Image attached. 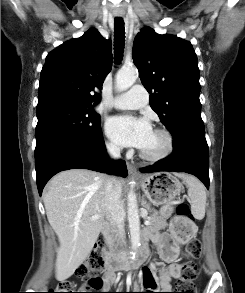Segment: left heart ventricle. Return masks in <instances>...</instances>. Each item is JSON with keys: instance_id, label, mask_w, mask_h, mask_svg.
I'll use <instances>...</instances> for the list:
<instances>
[{"instance_id": "obj_1", "label": "left heart ventricle", "mask_w": 245, "mask_h": 293, "mask_svg": "<svg viewBox=\"0 0 245 293\" xmlns=\"http://www.w3.org/2000/svg\"><path fill=\"white\" fill-rule=\"evenodd\" d=\"M165 148V138L162 134L153 132L148 143L142 149L143 152L151 155L159 154Z\"/></svg>"}]
</instances>
